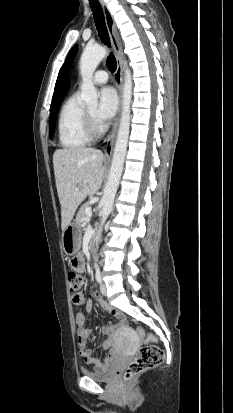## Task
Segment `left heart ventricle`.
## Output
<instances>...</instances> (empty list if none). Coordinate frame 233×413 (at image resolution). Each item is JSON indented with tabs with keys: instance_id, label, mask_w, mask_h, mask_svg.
<instances>
[{
	"instance_id": "1",
	"label": "left heart ventricle",
	"mask_w": 233,
	"mask_h": 413,
	"mask_svg": "<svg viewBox=\"0 0 233 413\" xmlns=\"http://www.w3.org/2000/svg\"><path fill=\"white\" fill-rule=\"evenodd\" d=\"M96 110H97L96 106H92V107H89V108H88V111H89L93 116L96 115Z\"/></svg>"
}]
</instances>
